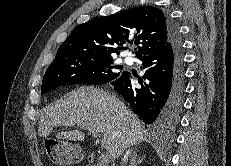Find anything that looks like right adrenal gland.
<instances>
[{"label":"right adrenal gland","mask_w":231,"mask_h":166,"mask_svg":"<svg viewBox=\"0 0 231 166\" xmlns=\"http://www.w3.org/2000/svg\"><path fill=\"white\" fill-rule=\"evenodd\" d=\"M144 157H145V155L142 156V159ZM142 159L140 157H138L137 150H135L134 153H133V156H132V159H131V162H130L129 166H137V164L140 163L142 161Z\"/></svg>","instance_id":"1"}]
</instances>
